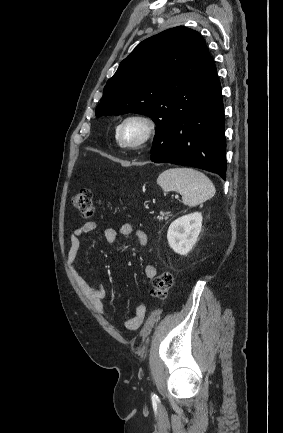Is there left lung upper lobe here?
Segmentation results:
<instances>
[{"label": "left lung upper lobe", "mask_w": 283, "mask_h": 433, "mask_svg": "<svg viewBox=\"0 0 283 433\" xmlns=\"http://www.w3.org/2000/svg\"><path fill=\"white\" fill-rule=\"evenodd\" d=\"M211 56L201 35L178 26L136 46L103 90L97 117L128 112L171 125L197 104L198 78Z\"/></svg>", "instance_id": "1"}]
</instances>
